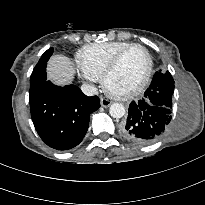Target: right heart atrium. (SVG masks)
<instances>
[{"label": "right heart atrium", "instance_id": "obj_1", "mask_svg": "<svg viewBox=\"0 0 205 205\" xmlns=\"http://www.w3.org/2000/svg\"><path fill=\"white\" fill-rule=\"evenodd\" d=\"M82 77L88 81V82H93L95 81L96 79L88 74H86L85 72L82 71Z\"/></svg>", "mask_w": 205, "mask_h": 205}]
</instances>
